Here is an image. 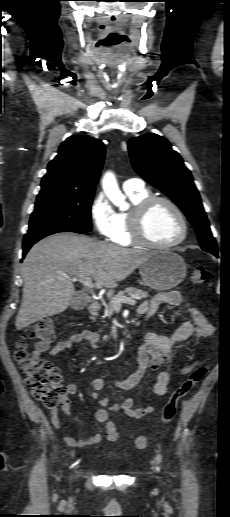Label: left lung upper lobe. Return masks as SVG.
I'll return each mask as SVG.
<instances>
[{
	"label": "left lung upper lobe",
	"mask_w": 230,
	"mask_h": 517,
	"mask_svg": "<svg viewBox=\"0 0 230 517\" xmlns=\"http://www.w3.org/2000/svg\"><path fill=\"white\" fill-rule=\"evenodd\" d=\"M135 171L148 183L169 196L186 214L204 251L218 252L209 221L189 169L170 142L157 134L134 137L128 142Z\"/></svg>",
	"instance_id": "obj_1"
}]
</instances>
